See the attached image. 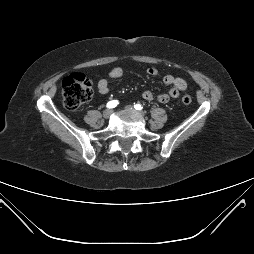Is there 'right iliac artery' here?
<instances>
[{"mask_svg":"<svg viewBox=\"0 0 254 254\" xmlns=\"http://www.w3.org/2000/svg\"><path fill=\"white\" fill-rule=\"evenodd\" d=\"M118 104H119V102H118L117 100H112V101H109V102L107 103V107H108V108H114V107H116Z\"/></svg>","mask_w":254,"mask_h":254,"instance_id":"1","label":"right iliac artery"}]
</instances>
